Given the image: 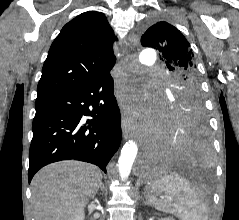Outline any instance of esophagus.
Returning a JSON list of instances; mask_svg holds the SVG:
<instances>
[{
	"label": "esophagus",
	"mask_w": 239,
	"mask_h": 220,
	"mask_svg": "<svg viewBox=\"0 0 239 220\" xmlns=\"http://www.w3.org/2000/svg\"><path fill=\"white\" fill-rule=\"evenodd\" d=\"M119 106L123 107L124 106V100L120 99L119 100ZM120 118H124L123 120L121 119L120 121L123 122V134L124 137L127 138L129 136L128 131H127V120L125 119L127 110L126 109H120Z\"/></svg>",
	"instance_id": "obj_1"
}]
</instances>
